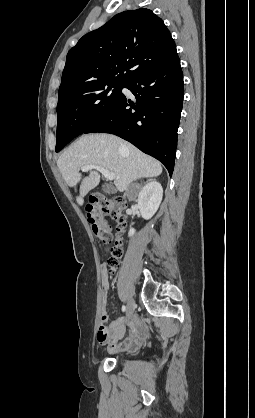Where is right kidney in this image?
Wrapping results in <instances>:
<instances>
[{
	"label": "right kidney",
	"mask_w": 255,
	"mask_h": 418,
	"mask_svg": "<svg viewBox=\"0 0 255 418\" xmlns=\"http://www.w3.org/2000/svg\"><path fill=\"white\" fill-rule=\"evenodd\" d=\"M163 197V188L157 181L147 183L138 195V208L141 216L148 220L158 210ZM135 233V229L130 228L128 236L131 237Z\"/></svg>",
	"instance_id": "ca27d5eb"
}]
</instances>
